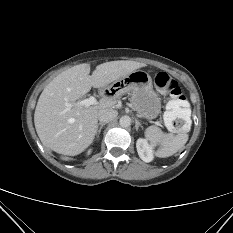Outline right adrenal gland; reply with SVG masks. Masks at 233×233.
<instances>
[{
	"instance_id": "1",
	"label": "right adrenal gland",
	"mask_w": 233,
	"mask_h": 233,
	"mask_svg": "<svg viewBox=\"0 0 233 233\" xmlns=\"http://www.w3.org/2000/svg\"><path fill=\"white\" fill-rule=\"evenodd\" d=\"M106 123H99L98 124V130H97V136H99V134L101 133V130H102V128H103V126L105 125Z\"/></svg>"
}]
</instances>
